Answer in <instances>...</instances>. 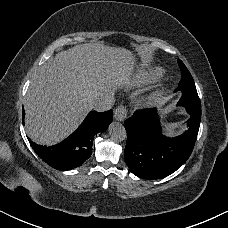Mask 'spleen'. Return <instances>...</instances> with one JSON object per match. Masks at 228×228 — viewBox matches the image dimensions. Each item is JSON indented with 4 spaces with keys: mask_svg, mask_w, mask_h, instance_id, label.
<instances>
[{
    "mask_svg": "<svg viewBox=\"0 0 228 228\" xmlns=\"http://www.w3.org/2000/svg\"><path fill=\"white\" fill-rule=\"evenodd\" d=\"M178 128V123H173L165 127L164 132L166 136H173L175 129Z\"/></svg>",
    "mask_w": 228,
    "mask_h": 228,
    "instance_id": "obj_1",
    "label": "spleen"
}]
</instances>
